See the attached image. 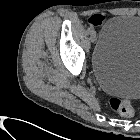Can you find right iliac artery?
Here are the masks:
<instances>
[{
	"mask_svg": "<svg viewBox=\"0 0 140 140\" xmlns=\"http://www.w3.org/2000/svg\"><path fill=\"white\" fill-rule=\"evenodd\" d=\"M92 31H93V28L92 27L88 28V32L89 33H91Z\"/></svg>",
	"mask_w": 140,
	"mask_h": 140,
	"instance_id": "82829eb1",
	"label": "right iliac artery"
}]
</instances>
